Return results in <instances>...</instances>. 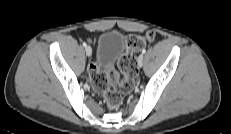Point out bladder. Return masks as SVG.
Listing matches in <instances>:
<instances>
[{
  "instance_id": "bladder-1",
  "label": "bladder",
  "mask_w": 231,
  "mask_h": 134,
  "mask_svg": "<svg viewBox=\"0 0 231 134\" xmlns=\"http://www.w3.org/2000/svg\"><path fill=\"white\" fill-rule=\"evenodd\" d=\"M124 49L123 34L116 30L104 31L100 34L96 47V65L108 71Z\"/></svg>"
}]
</instances>
